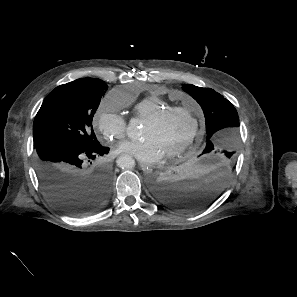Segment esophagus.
<instances>
[{
  "label": "esophagus",
  "mask_w": 297,
  "mask_h": 297,
  "mask_svg": "<svg viewBox=\"0 0 297 297\" xmlns=\"http://www.w3.org/2000/svg\"><path fill=\"white\" fill-rule=\"evenodd\" d=\"M139 166L143 170V172H145L147 174H149V173L152 172V168L149 165H147V164L139 163Z\"/></svg>",
  "instance_id": "1"
}]
</instances>
